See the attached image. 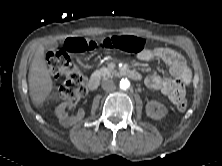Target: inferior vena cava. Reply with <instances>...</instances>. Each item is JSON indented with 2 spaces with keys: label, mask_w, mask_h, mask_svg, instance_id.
<instances>
[{
  "label": "inferior vena cava",
  "mask_w": 222,
  "mask_h": 166,
  "mask_svg": "<svg viewBox=\"0 0 222 166\" xmlns=\"http://www.w3.org/2000/svg\"><path fill=\"white\" fill-rule=\"evenodd\" d=\"M102 88L105 90V91H112L116 88L113 80H110V79H106V80H103L102 81Z\"/></svg>",
  "instance_id": "obj_1"
}]
</instances>
